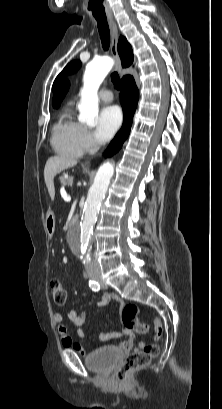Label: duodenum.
I'll return each mask as SVG.
<instances>
[{"label":"duodenum","mask_w":222,"mask_h":409,"mask_svg":"<svg viewBox=\"0 0 222 409\" xmlns=\"http://www.w3.org/2000/svg\"><path fill=\"white\" fill-rule=\"evenodd\" d=\"M72 222H73V223H77V222H78V217H77V216H74L73 219H72Z\"/></svg>","instance_id":"duodenum-1"}]
</instances>
